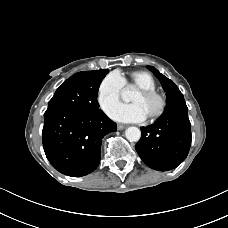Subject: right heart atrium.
I'll use <instances>...</instances> for the list:
<instances>
[{"mask_svg": "<svg viewBox=\"0 0 228 228\" xmlns=\"http://www.w3.org/2000/svg\"><path fill=\"white\" fill-rule=\"evenodd\" d=\"M123 81L118 73L107 74L97 88V102L102 111L106 112L120 98Z\"/></svg>", "mask_w": 228, "mask_h": 228, "instance_id": "right-heart-atrium-1", "label": "right heart atrium"}]
</instances>
